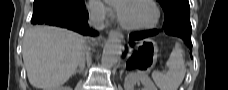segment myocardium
<instances>
[{
  "label": "myocardium",
  "instance_id": "f54148a6",
  "mask_svg": "<svg viewBox=\"0 0 228 90\" xmlns=\"http://www.w3.org/2000/svg\"><path fill=\"white\" fill-rule=\"evenodd\" d=\"M134 1H137V0H124V1H121L120 5H119V11H118V18H119V22L120 24L125 28V29H128V30H135V31H144V30H151V29H154L158 26L159 22H160V17H161V13H160V9L157 5V3L154 1V0H144V1H147L148 3H150L154 10H155V20L152 24L150 25H144V26H134V25H130L128 24L123 16H122V13H121V6L124 5V4H127V3H131V2H134Z\"/></svg>",
  "mask_w": 228,
  "mask_h": 90
}]
</instances>
